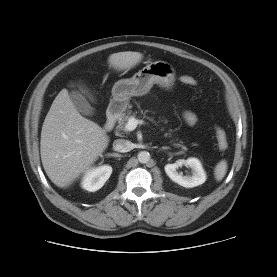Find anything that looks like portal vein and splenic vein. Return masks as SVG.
Segmentation results:
<instances>
[{"label":"portal vein and splenic vein","mask_w":277,"mask_h":277,"mask_svg":"<svg viewBox=\"0 0 277 277\" xmlns=\"http://www.w3.org/2000/svg\"><path fill=\"white\" fill-rule=\"evenodd\" d=\"M138 124H142V120H138L135 117H130L128 122L125 125V130L126 131H133L136 129Z\"/></svg>","instance_id":"obj_1"}]
</instances>
